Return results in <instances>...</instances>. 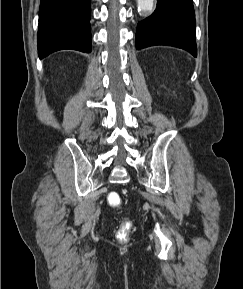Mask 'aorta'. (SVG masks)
Returning a JSON list of instances; mask_svg holds the SVG:
<instances>
[{
  "mask_svg": "<svg viewBox=\"0 0 243 289\" xmlns=\"http://www.w3.org/2000/svg\"><path fill=\"white\" fill-rule=\"evenodd\" d=\"M138 9L143 12H149L153 9L154 0H137Z\"/></svg>",
  "mask_w": 243,
  "mask_h": 289,
  "instance_id": "1",
  "label": "aorta"
}]
</instances>
